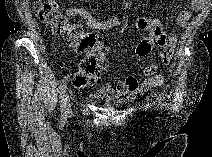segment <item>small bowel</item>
<instances>
[{"mask_svg":"<svg viewBox=\"0 0 212 157\" xmlns=\"http://www.w3.org/2000/svg\"><path fill=\"white\" fill-rule=\"evenodd\" d=\"M202 2L200 0H192V10H199ZM69 17H81L85 23L94 30H110L120 26V21L111 18L99 21L82 6H69L65 10ZM191 18V10L182 9L177 17L176 22L179 26H185ZM136 25L139 29L154 35H164L165 40L162 42L163 52L161 55L162 64H167L172 59L175 51L176 35L174 33L166 34L161 23L154 18L140 16L136 19ZM157 65H149L143 70V80H139L135 76H127L124 80L117 81L115 84L107 82L95 93L89 94L87 99L90 103H98L104 97L125 96L136 97L147 92L149 89L160 87L163 84L164 77L157 72Z\"/></svg>","mask_w":212,"mask_h":157,"instance_id":"c3829d8e","label":"small bowel"}]
</instances>
